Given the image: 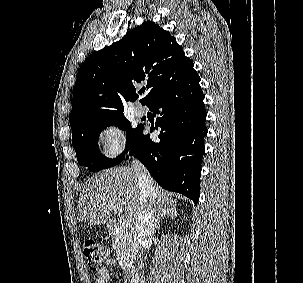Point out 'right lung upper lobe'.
Returning <instances> with one entry per match:
<instances>
[{
  "instance_id": "cb5924a9",
  "label": "right lung upper lobe",
  "mask_w": 303,
  "mask_h": 283,
  "mask_svg": "<svg viewBox=\"0 0 303 283\" xmlns=\"http://www.w3.org/2000/svg\"><path fill=\"white\" fill-rule=\"evenodd\" d=\"M193 66L169 31L144 21L81 65L73 91L72 134L87 123L124 116L123 103L138 97L136 83H146L147 95L140 102L148 105L196 73Z\"/></svg>"
}]
</instances>
